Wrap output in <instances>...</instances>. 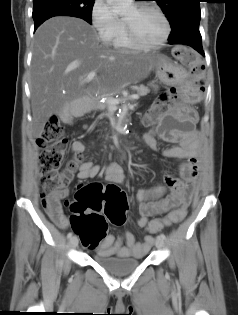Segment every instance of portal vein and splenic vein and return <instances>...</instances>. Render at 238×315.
Wrapping results in <instances>:
<instances>
[{
    "mask_svg": "<svg viewBox=\"0 0 238 315\" xmlns=\"http://www.w3.org/2000/svg\"><path fill=\"white\" fill-rule=\"evenodd\" d=\"M95 76H96L95 72H90L87 75V77L85 79V82L91 81ZM130 99L137 100V99H139V95L138 94H133V95L130 96ZM107 102H108L109 105H115V104L119 103V100L115 99V98H108Z\"/></svg>",
    "mask_w": 238,
    "mask_h": 315,
    "instance_id": "portal-vein-and-splenic-vein-1",
    "label": "portal vein and splenic vein"
}]
</instances>
